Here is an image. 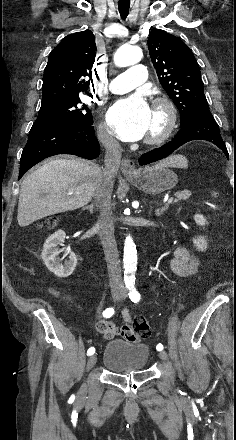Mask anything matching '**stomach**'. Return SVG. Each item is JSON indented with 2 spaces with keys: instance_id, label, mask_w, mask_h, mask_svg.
<instances>
[{
  "instance_id": "0dacf381",
  "label": "stomach",
  "mask_w": 236,
  "mask_h": 440,
  "mask_svg": "<svg viewBox=\"0 0 236 440\" xmlns=\"http://www.w3.org/2000/svg\"><path fill=\"white\" fill-rule=\"evenodd\" d=\"M126 178L138 189L148 194H158L172 189L178 183L176 173L164 166L145 168L137 171L133 176H126Z\"/></svg>"
}]
</instances>
